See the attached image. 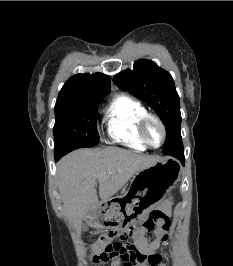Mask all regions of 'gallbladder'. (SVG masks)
<instances>
[{"label": "gallbladder", "instance_id": "gallbladder-1", "mask_svg": "<svg viewBox=\"0 0 233 266\" xmlns=\"http://www.w3.org/2000/svg\"><path fill=\"white\" fill-rule=\"evenodd\" d=\"M82 229H83L84 231H86V230L88 229V227H87L85 224H83V225H82Z\"/></svg>", "mask_w": 233, "mask_h": 266}]
</instances>
